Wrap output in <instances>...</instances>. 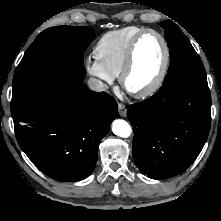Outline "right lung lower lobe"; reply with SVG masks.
<instances>
[{
	"mask_svg": "<svg viewBox=\"0 0 221 221\" xmlns=\"http://www.w3.org/2000/svg\"><path fill=\"white\" fill-rule=\"evenodd\" d=\"M66 86L13 113L17 141L49 177L80 181L94 170L98 146L118 117L116 101L90 91L83 77L66 75Z\"/></svg>",
	"mask_w": 221,
	"mask_h": 221,
	"instance_id": "98d812e1",
	"label": "right lung lower lobe"
}]
</instances>
